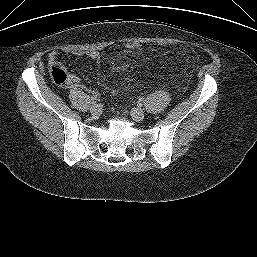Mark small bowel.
<instances>
[{"instance_id": "small-bowel-1", "label": "small bowel", "mask_w": 257, "mask_h": 257, "mask_svg": "<svg viewBox=\"0 0 257 257\" xmlns=\"http://www.w3.org/2000/svg\"><path fill=\"white\" fill-rule=\"evenodd\" d=\"M71 54L75 55V56H79V57H87L90 59H96L99 56V52L96 50H89V51H70ZM60 55V50L58 49H54L52 50L49 55H48V64L50 67L53 66H58V57ZM111 67L113 68V70H115L116 72H123L126 71L127 69H129L131 67V65L129 63L126 62H115V61H111L110 62ZM69 85L73 86L76 85L79 82V77L75 74H70L69 75Z\"/></svg>"}]
</instances>
